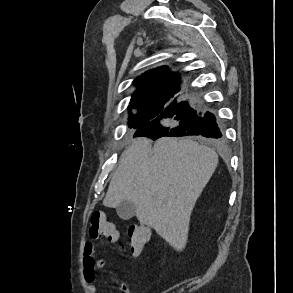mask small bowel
<instances>
[{
    "instance_id": "obj_1",
    "label": "small bowel",
    "mask_w": 293,
    "mask_h": 293,
    "mask_svg": "<svg viewBox=\"0 0 293 293\" xmlns=\"http://www.w3.org/2000/svg\"><path fill=\"white\" fill-rule=\"evenodd\" d=\"M94 253V244L90 241L85 242L83 257V274L85 277L86 286L89 293L98 292L95 272L96 270L102 269L105 266V259L102 257H95ZM117 288L120 293H130L129 287L124 283L119 284Z\"/></svg>"
}]
</instances>
